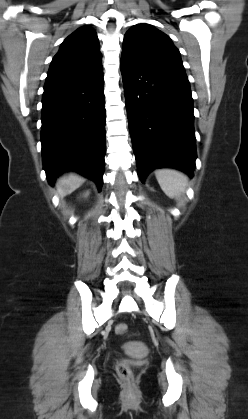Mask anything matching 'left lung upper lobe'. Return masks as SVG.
Segmentation results:
<instances>
[{
  "instance_id": "obj_1",
  "label": "left lung upper lobe",
  "mask_w": 248,
  "mask_h": 419,
  "mask_svg": "<svg viewBox=\"0 0 248 419\" xmlns=\"http://www.w3.org/2000/svg\"><path fill=\"white\" fill-rule=\"evenodd\" d=\"M122 56L142 66L187 78L179 50L169 36L152 25L137 24L126 32Z\"/></svg>"
}]
</instances>
